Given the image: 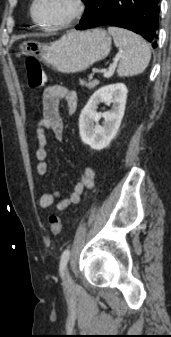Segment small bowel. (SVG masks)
Segmentation results:
<instances>
[{"label":"small bowel","instance_id":"obj_1","mask_svg":"<svg viewBox=\"0 0 171 337\" xmlns=\"http://www.w3.org/2000/svg\"><path fill=\"white\" fill-rule=\"evenodd\" d=\"M66 103L69 114H74L78 106V96L74 90H70L63 85H52L45 89L43 95L42 118L38 121L36 127V137L38 147L36 150L37 173L45 176L48 171L47 158V136L53 140H60L63 135V121L60 115V103ZM96 173L92 167H86L80 180L74 185L71 194L68 197L61 198L60 192H46L39 198V207L49 208L56 200V209L65 208L79 203L83 192L91 189L95 185Z\"/></svg>","mask_w":171,"mask_h":337}]
</instances>
